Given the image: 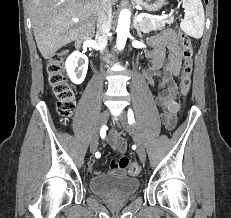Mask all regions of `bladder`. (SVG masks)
Listing matches in <instances>:
<instances>
[{
    "label": "bladder",
    "mask_w": 231,
    "mask_h": 218,
    "mask_svg": "<svg viewBox=\"0 0 231 218\" xmlns=\"http://www.w3.org/2000/svg\"><path fill=\"white\" fill-rule=\"evenodd\" d=\"M139 186V180L130 176H95L89 181L92 192L113 199L130 197L137 192Z\"/></svg>",
    "instance_id": "1"
}]
</instances>
